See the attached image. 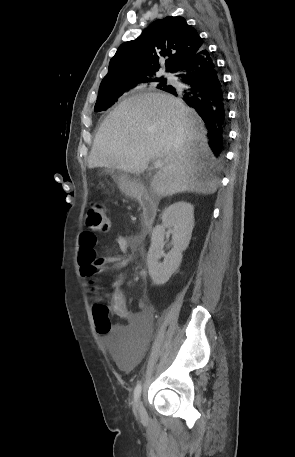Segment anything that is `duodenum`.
I'll return each instance as SVG.
<instances>
[{
    "instance_id": "1",
    "label": "duodenum",
    "mask_w": 295,
    "mask_h": 457,
    "mask_svg": "<svg viewBox=\"0 0 295 457\" xmlns=\"http://www.w3.org/2000/svg\"><path fill=\"white\" fill-rule=\"evenodd\" d=\"M132 194L141 205L142 213L140 237L145 238L150 233L155 223L157 206L154 200L143 188H135Z\"/></svg>"
}]
</instances>
